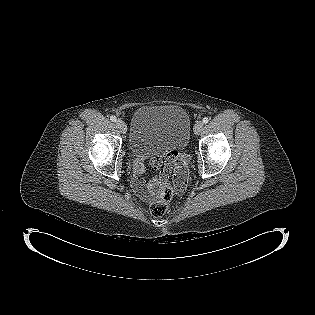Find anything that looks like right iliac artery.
<instances>
[{"label": "right iliac artery", "instance_id": "1", "mask_svg": "<svg viewBox=\"0 0 315 315\" xmlns=\"http://www.w3.org/2000/svg\"><path fill=\"white\" fill-rule=\"evenodd\" d=\"M110 120H111L112 122H116L117 118L112 115V116L110 117Z\"/></svg>", "mask_w": 315, "mask_h": 315}]
</instances>
